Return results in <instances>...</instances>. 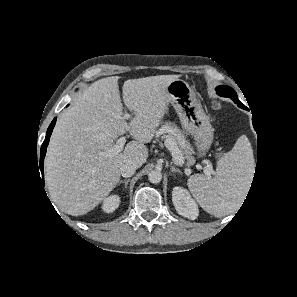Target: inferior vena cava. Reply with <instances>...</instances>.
<instances>
[{
	"mask_svg": "<svg viewBox=\"0 0 297 297\" xmlns=\"http://www.w3.org/2000/svg\"><path fill=\"white\" fill-rule=\"evenodd\" d=\"M138 165L134 161H127L120 167V174L123 177H130L135 173Z\"/></svg>",
	"mask_w": 297,
	"mask_h": 297,
	"instance_id": "1",
	"label": "inferior vena cava"
}]
</instances>
